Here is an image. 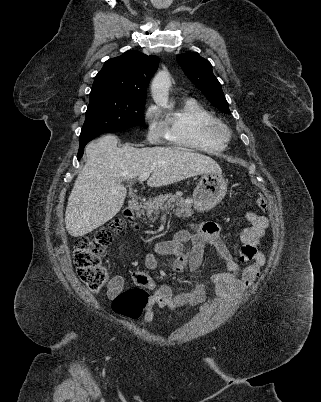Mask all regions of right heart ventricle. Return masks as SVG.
<instances>
[{"label": "right heart ventricle", "instance_id": "obj_1", "mask_svg": "<svg viewBox=\"0 0 321 402\" xmlns=\"http://www.w3.org/2000/svg\"><path fill=\"white\" fill-rule=\"evenodd\" d=\"M213 119L210 111L199 101L187 98L175 112L164 118L162 136L170 145L178 148L218 153L224 150L225 142L206 130V125Z\"/></svg>", "mask_w": 321, "mask_h": 402}]
</instances>
